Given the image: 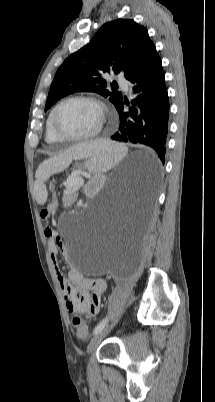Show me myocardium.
<instances>
[{"label":"myocardium","instance_id":"obj_1","mask_svg":"<svg viewBox=\"0 0 215 402\" xmlns=\"http://www.w3.org/2000/svg\"><path fill=\"white\" fill-rule=\"evenodd\" d=\"M71 101H87V102H91L98 106V108L100 109V112H101V122L96 130H94L93 132H90L88 134L75 136V135H69L60 129L58 122H57L58 112L63 105H65L66 103L71 102ZM107 118H108V109H107V106L105 105V103L101 99H99L95 96H91V95H73V96H68V97L62 99L53 108L52 117H51V125H52V129H53L54 133L60 139H62L64 141H70V142H81V141H88V140L97 138L102 133V131L104 129V125L107 121Z\"/></svg>","mask_w":215,"mask_h":402}]
</instances>
